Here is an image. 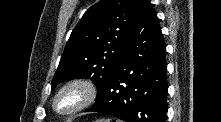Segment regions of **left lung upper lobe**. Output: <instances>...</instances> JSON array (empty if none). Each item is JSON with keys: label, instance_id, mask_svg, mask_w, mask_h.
I'll return each instance as SVG.
<instances>
[{"label": "left lung upper lobe", "instance_id": "1", "mask_svg": "<svg viewBox=\"0 0 221 122\" xmlns=\"http://www.w3.org/2000/svg\"><path fill=\"white\" fill-rule=\"evenodd\" d=\"M141 0H101L78 22L51 83L91 79L103 93L131 33Z\"/></svg>", "mask_w": 221, "mask_h": 122}]
</instances>
